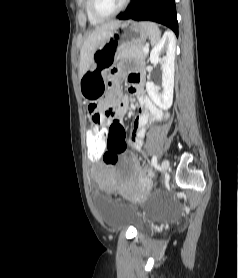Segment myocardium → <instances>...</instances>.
<instances>
[{"instance_id":"1","label":"myocardium","mask_w":238,"mask_h":278,"mask_svg":"<svg viewBox=\"0 0 238 278\" xmlns=\"http://www.w3.org/2000/svg\"><path fill=\"white\" fill-rule=\"evenodd\" d=\"M129 1L130 0H123L121 5L116 10H114L113 12L107 13V14H103L97 8V0H90V12H91L92 16L94 18H96L97 20H100V21L106 20V19L116 16L121 11H123L126 8V6L128 5Z\"/></svg>"}]
</instances>
